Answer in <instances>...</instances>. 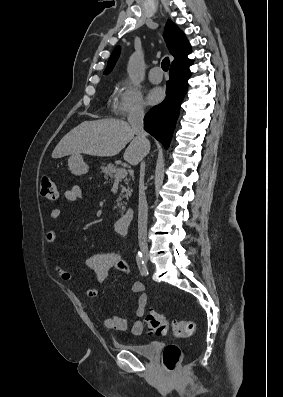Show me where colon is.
Listing matches in <instances>:
<instances>
[{"mask_svg":"<svg viewBox=\"0 0 283 397\" xmlns=\"http://www.w3.org/2000/svg\"><path fill=\"white\" fill-rule=\"evenodd\" d=\"M41 196L54 201L58 198L57 187L54 181L47 175H44L39 184ZM146 324L151 332L159 336H165L169 327H172L173 335L178 338H187L194 334L195 324L189 320H170L165 315L150 310L146 316ZM182 357V351L176 344H168L162 353V364L166 372H173L178 366Z\"/></svg>","mask_w":283,"mask_h":397,"instance_id":"colon-1","label":"colon"}]
</instances>
